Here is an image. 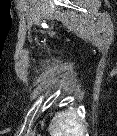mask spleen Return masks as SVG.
I'll return each instance as SVG.
<instances>
[{"label": "spleen", "mask_w": 117, "mask_h": 136, "mask_svg": "<svg viewBox=\"0 0 117 136\" xmlns=\"http://www.w3.org/2000/svg\"><path fill=\"white\" fill-rule=\"evenodd\" d=\"M49 132L51 136H83V118L72 111L57 113L49 125Z\"/></svg>", "instance_id": "spleen-1"}]
</instances>
